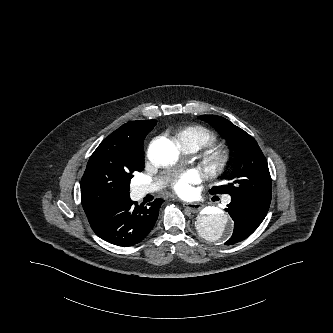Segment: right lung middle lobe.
Listing matches in <instances>:
<instances>
[{
    "label": "right lung middle lobe",
    "mask_w": 333,
    "mask_h": 333,
    "mask_svg": "<svg viewBox=\"0 0 333 333\" xmlns=\"http://www.w3.org/2000/svg\"><path fill=\"white\" fill-rule=\"evenodd\" d=\"M156 125V120L145 121V135ZM143 170V159L125 167L108 169L97 176V185L105 193L118 199L129 197L130 181L135 171Z\"/></svg>",
    "instance_id": "dd1d6c3e"
}]
</instances>
